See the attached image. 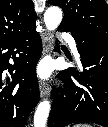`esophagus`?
Wrapping results in <instances>:
<instances>
[{
  "mask_svg": "<svg viewBox=\"0 0 108 127\" xmlns=\"http://www.w3.org/2000/svg\"><path fill=\"white\" fill-rule=\"evenodd\" d=\"M43 42V55H46L52 50V36L44 30L41 34ZM40 95L42 98H46L50 95V88L45 81H40L39 83Z\"/></svg>",
  "mask_w": 108,
  "mask_h": 127,
  "instance_id": "1",
  "label": "esophagus"
}]
</instances>
